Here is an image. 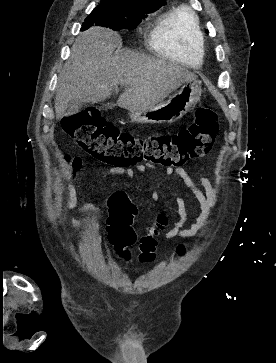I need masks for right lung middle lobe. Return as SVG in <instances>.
Wrapping results in <instances>:
<instances>
[{
    "label": "right lung middle lobe",
    "instance_id": "right-lung-middle-lobe-1",
    "mask_svg": "<svg viewBox=\"0 0 276 363\" xmlns=\"http://www.w3.org/2000/svg\"><path fill=\"white\" fill-rule=\"evenodd\" d=\"M159 7L145 4L120 5L102 2L86 17L81 30L92 26L107 27L113 30L134 29L147 14Z\"/></svg>",
    "mask_w": 276,
    "mask_h": 363
}]
</instances>
